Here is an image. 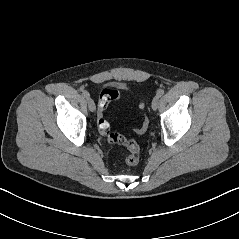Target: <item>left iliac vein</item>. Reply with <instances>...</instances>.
Returning <instances> with one entry per match:
<instances>
[{"label": "left iliac vein", "instance_id": "4c4485c4", "mask_svg": "<svg viewBox=\"0 0 239 239\" xmlns=\"http://www.w3.org/2000/svg\"><path fill=\"white\" fill-rule=\"evenodd\" d=\"M159 96H155L153 98V101H152V109L155 111L157 108H158V104H159Z\"/></svg>", "mask_w": 239, "mask_h": 239}]
</instances>
